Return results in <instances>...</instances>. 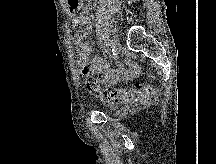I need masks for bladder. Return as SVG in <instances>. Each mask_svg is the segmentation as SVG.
<instances>
[{"mask_svg":"<svg viewBox=\"0 0 216 164\" xmlns=\"http://www.w3.org/2000/svg\"><path fill=\"white\" fill-rule=\"evenodd\" d=\"M127 111H128V107L126 106L113 110V112L117 115L127 113Z\"/></svg>","mask_w":216,"mask_h":164,"instance_id":"31cf9c89","label":"bladder"}]
</instances>
